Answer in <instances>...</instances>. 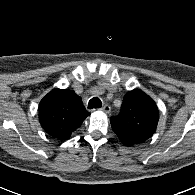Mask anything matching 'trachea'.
<instances>
[{
	"label": "trachea",
	"mask_w": 195,
	"mask_h": 195,
	"mask_svg": "<svg viewBox=\"0 0 195 195\" xmlns=\"http://www.w3.org/2000/svg\"><path fill=\"white\" fill-rule=\"evenodd\" d=\"M101 106L102 103L98 97H94L88 102V109L100 108Z\"/></svg>",
	"instance_id": "3493384b"
}]
</instances>
